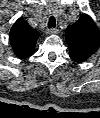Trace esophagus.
I'll return each instance as SVG.
<instances>
[{"label": "esophagus", "mask_w": 100, "mask_h": 118, "mask_svg": "<svg viewBox=\"0 0 100 118\" xmlns=\"http://www.w3.org/2000/svg\"><path fill=\"white\" fill-rule=\"evenodd\" d=\"M59 30L57 28H51V29H47L46 30V34L48 35H54V34H58Z\"/></svg>", "instance_id": "34e87169"}]
</instances>
